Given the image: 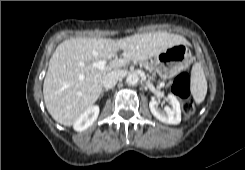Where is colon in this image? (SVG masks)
Instances as JSON below:
<instances>
[{"label":"colon","mask_w":245,"mask_h":170,"mask_svg":"<svg viewBox=\"0 0 245 170\" xmlns=\"http://www.w3.org/2000/svg\"><path fill=\"white\" fill-rule=\"evenodd\" d=\"M190 78L188 73L181 72L176 76L172 84V92L174 95L182 99V112L186 118H189L194 113V104L188 99L190 90Z\"/></svg>","instance_id":"obj_1"}]
</instances>
